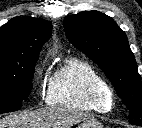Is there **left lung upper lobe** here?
<instances>
[{
    "instance_id": "obj_1",
    "label": "left lung upper lobe",
    "mask_w": 142,
    "mask_h": 128,
    "mask_svg": "<svg viewBox=\"0 0 142 128\" xmlns=\"http://www.w3.org/2000/svg\"><path fill=\"white\" fill-rule=\"evenodd\" d=\"M67 38L98 64L130 110L129 122L142 126V82L128 39L116 22L98 11L64 20Z\"/></svg>"
}]
</instances>
